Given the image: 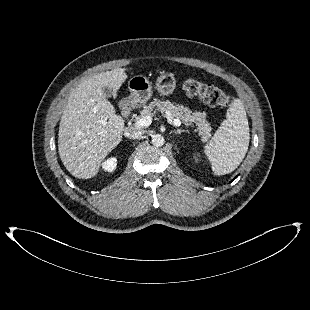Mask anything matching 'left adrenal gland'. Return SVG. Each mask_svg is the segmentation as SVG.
Returning <instances> with one entry per match:
<instances>
[{"mask_svg":"<svg viewBox=\"0 0 310 310\" xmlns=\"http://www.w3.org/2000/svg\"><path fill=\"white\" fill-rule=\"evenodd\" d=\"M173 132H174L175 134H181L182 132H187V133H189L188 130H184V129H177V130H174Z\"/></svg>","mask_w":310,"mask_h":310,"instance_id":"left-adrenal-gland-1","label":"left adrenal gland"}]
</instances>
